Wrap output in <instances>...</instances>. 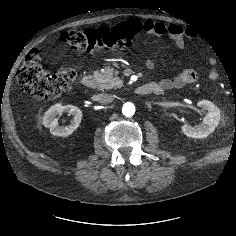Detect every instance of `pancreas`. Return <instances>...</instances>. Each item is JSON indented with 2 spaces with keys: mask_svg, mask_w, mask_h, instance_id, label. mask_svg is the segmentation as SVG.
I'll list each match as a JSON object with an SVG mask.
<instances>
[{
  "mask_svg": "<svg viewBox=\"0 0 236 236\" xmlns=\"http://www.w3.org/2000/svg\"><path fill=\"white\" fill-rule=\"evenodd\" d=\"M118 71L110 67H105L100 73L97 72L95 77L100 89H116L122 87V80L117 76Z\"/></svg>",
  "mask_w": 236,
  "mask_h": 236,
  "instance_id": "pancreas-1",
  "label": "pancreas"
}]
</instances>
